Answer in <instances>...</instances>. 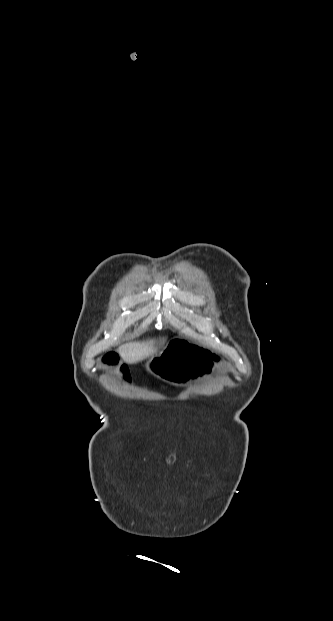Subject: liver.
I'll list each match as a JSON object with an SVG mask.
<instances>
[{"label":"liver","instance_id":"liver-1","mask_svg":"<svg viewBox=\"0 0 333 621\" xmlns=\"http://www.w3.org/2000/svg\"><path fill=\"white\" fill-rule=\"evenodd\" d=\"M165 341L166 339L162 338L159 341L148 339L146 341L129 342L119 347V353L127 364H136L156 354Z\"/></svg>","mask_w":333,"mask_h":621}]
</instances>
